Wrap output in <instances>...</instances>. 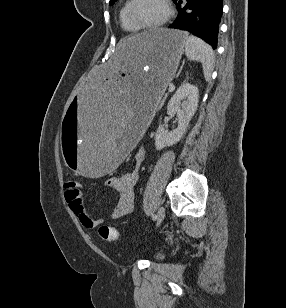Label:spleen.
Wrapping results in <instances>:
<instances>
[{
  "label": "spleen",
  "instance_id": "1",
  "mask_svg": "<svg viewBox=\"0 0 286 308\" xmlns=\"http://www.w3.org/2000/svg\"><path fill=\"white\" fill-rule=\"evenodd\" d=\"M185 54L190 61H197L202 64L204 77L208 81L215 63L214 52L211 46L194 35H187Z\"/></svg>",
  "mask_w": 286,
  "mask_h": 308
}]
</instances>
